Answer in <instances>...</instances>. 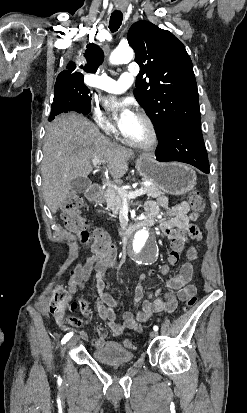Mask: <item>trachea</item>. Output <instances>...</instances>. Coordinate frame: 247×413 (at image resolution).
<instances>
[{"label": "trachea", "instance_id": "3493384b", "mask_svg": "<svg viewBox=\"0 0 247 413\" xmlns=\"http://www.w3.org/2000/svg\"><path fill=\"white\" fill-rule=\"evenodd\" d=\"M122 19H123V14L121 12L112 13L110 22H109V28L112 32H116L119 29L122 23Z\"/></svg>", "mask_w": 247, "mask_h": 413}]
</instances>
